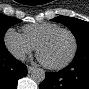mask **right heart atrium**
<instances>
[{
  "instance_id": "d8ad5b80",
  "label": "right heart atrium",
  "mask_w": 89,
  "mask_h": 89,
  "mask_svg": "<svg viewBox=\"0 0 89 89\" xmlns=\"http://www.w3.org/2000/svg\"><path fill=\"white\" fill-rule=\"evenodd\" d=\"M3 40L7 50L19 60L25 59V57L32 53L36 48L22 33L14 28H8L6 30Z\"/></svg>"
}]
</instances>
